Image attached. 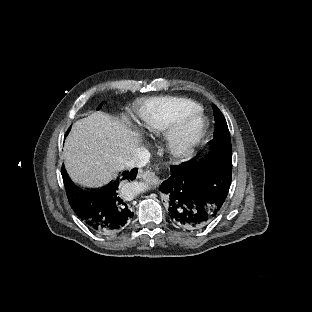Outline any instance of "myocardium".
I'll return each mask as SVG.
<instances>
[{"label":"myocardium","mask_w":312,"mask_h":312,"mask_svg":"<svg viewBox=\"0 0 312 312\" xmlns=\"http://www.w3.org/2000/svg\"><path fill=\"white\" fill-rule=\"evenodd\" d=\"M206 133V117L199 110L184 113L179 124L169 131V143L176 150L189 149L197 145Z\"/></svg>","instance_id":"f54148a6"}]
</instances>
